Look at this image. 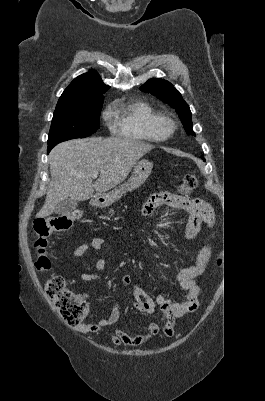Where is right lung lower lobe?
Returning a JSON list of instances; mask_svg holds the SVG:
<instances>
[{
	"mask_svg": "<svg viewBox=\"0 0 265 401\" xmlns=\"http://www.w3.org/2000/svg\"><path fill=\"white\" fill-rule=\"evenodd\" d=\"M51 149H52V148L48 147V153L50 152Z\"/></svg>",
	"mask_w": 265,
	"mask_h": 401,
	"instance_id": "98d812e1",
	"label": "right lung lower lobe"
}]
</instances>
